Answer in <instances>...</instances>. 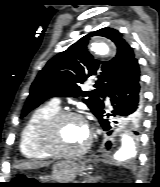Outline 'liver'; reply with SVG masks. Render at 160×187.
I'll list each match as a JSON object with an SVG mask.
<instances>
[{
  "instance_id": "liver-1",
  "label": "liver",
  "mask_w": 160,
  "mask_h": 187,
  "mask_svg": "<svg viewBox=\"0 0 160 187\" xmlns=\"http://www.w3.org/2000/svg\"><path fill=\"white\" fill-rule=\"evenodd\" d=\"M38 166H43V164L26 162V163H22V164L19 165V167L22 168V169H31V168H35V167H38Z\"/></svg>"
}]
</instances>
